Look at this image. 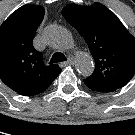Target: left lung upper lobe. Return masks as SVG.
Segmentation results:
<instances>
[{
  "label": "left lung upper lobe",
  "instance_id": "left-lung-upper-lobe-1",
  "mask_svg": "<svg viewBox=\"0 0 135 135\" xmlns=\"http://www.w3.org/2000/svg\"><path fill=\"white\" fill-rule=\"evenodd\" d=\"M62 14L83 36L95 61V70L84 83L104 92L125 86L135 74V38L118 17L98 2L69 4Z\"/></svg>",
  "mask_w": 135,
  "mask_h": 135
}]
</instances>
